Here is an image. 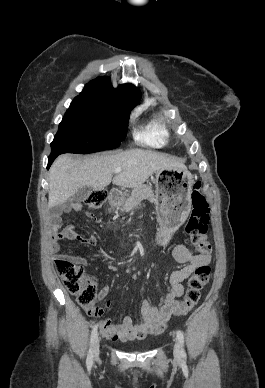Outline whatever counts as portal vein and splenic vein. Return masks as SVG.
<instances>
[{
  "mask_svg": "<svg viewBox=\"0 0 265 388\" xmlns=\"http://www.w3.org/2000/svg\"><path fill=\"white\" fill-rule=\"evenodd\" d=\"M122 172V168H115L114 174H120Z\"/></svg>",
  "mask_w": 265,
  "mask_h": 388,
  "instance_id": "portal-vein-and-splenic-vein-1",
  "label": "portal vein and splenic vein"
}]
</instances>
